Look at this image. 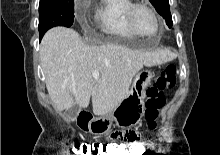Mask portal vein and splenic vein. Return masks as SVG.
Wrapping results in <instances>:
<instances>
[{"label":"portal vein and splenic vein","mask_w":220,"mask_h":155,"mask_svg":"<svg viewBox=\"0 0 220 155\" xmlns=\"http://www.w3.org/2000/svg\"><path fill=\"white\" fill-rule=\"evenodd\" d=\"M93 78H94L95 80H99V71H98V70H95V71L93 72Z\"/></svg>","instance_id":"1"}]
</instances>
